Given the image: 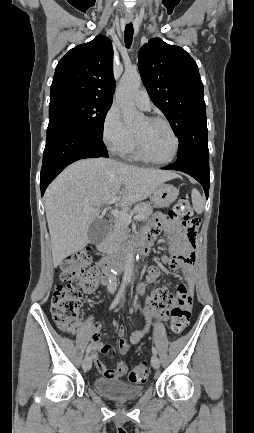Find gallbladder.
<instances>
[{
  "mask_svg": "<svg viewBox=\"0 0 254 433\" xmlns=\"http://www.w3.org/2000/svg\"><path fill=\"white\" fill-rule=\"evenodd\" d=\"M109 224L106 220L96 218L88 229V238L91 244L100 243L107 236Z\"/></svg>",
  "mask_w": 254,
  "mask_h": 433,
  "instance_id": "1",
  "label": "gallbladder"
}]
</instances>
